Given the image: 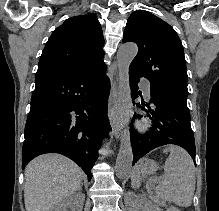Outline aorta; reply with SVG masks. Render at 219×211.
<instances>
[{"mask_svg": "<svg viewBox=\"0 0 219 211\" xmlns=\"http://www.w3.org/2000/svg\"><path fill=\"white\" fill-rule=\"evenodd\" d=\"M138 52L134 43L122 45L117 52V66L119 73L118 96L120 102L119 115L126 124L132 114L131 89L129 85V66ZM133 151L128 129H124L121 136L120 148L116 159L115 171L119 178H126L132 170Z\"/></svg>", "mask_w": 219, "mask_h": 211, "instance_id": "aorta-1", "label": "aorta"}]
</instances>
